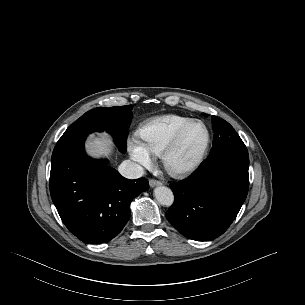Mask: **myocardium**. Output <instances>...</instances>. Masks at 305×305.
I'll use <instances>...</instances> for the list:
<instances>
[{
    "label": "myocardium",
    "instance_id": "f54148a6",
    "mask_svg": "<svg viewBox=\"0 0 305 305\" xmlns=\"http://www.w3.org/2000/svg\"><path fill=\"white\" fill-rule=\"evenodd\" d=\"M202 125L206 131V140L204 146L198 156L190 163L186 165H176L173 162V157L180 148L182 141L188 132V130L194 125ZM211 144V132L206 123L201 120H192L186 125H184L178 133L175 135L171 143L165 148L162 153V163L165 170L173 177L176 178H185L195 171H197L203 164L206 156L208 154Z\"/></svg>",
    "mask_w": 305,
    "mask_h": 305
}]
</instances>
